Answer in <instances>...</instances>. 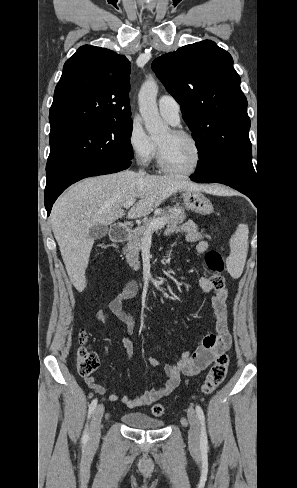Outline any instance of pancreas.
I'll return each instance as SVG.
<instances>
[{
	"label": "pancreas",
	"mask_w": 297,
	"mask_h": 488,
	"mask_svg": "<svg viewBox=\"0 0 297 488\" xmlns=\"http://www.w3.org/2000/svg\"><path fill=\"white\" fill-rule=\"evenodd\" d=\"M155 216L156 218H145L143 220V225L133 231V233L129 236L127 246L123 249L129 266L134 270H138L139 268V252L142 247L143 240L145 239V231L155 219L165 218L164 225L181 224L186 219L184 209L177 206L168 208V211H156ZM160 228L161 227H159L158 229ZM154 231L155 230H153L152 232Z\"/></svg>",
	"instance_id": "obj_1"
}]
</instances>
